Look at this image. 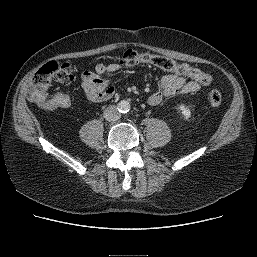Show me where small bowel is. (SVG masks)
<instances>
[{"instance_id":"1","label":"small bowel","mask_w":257,"mask_h":257,"mask_svg":"<svg viewBox=\"0 0 257 257\" xmlns=\"http://www.w3.org/2000/svg\"><path fill=\"white\" fill-rule=\"evenodd\" d=\"M117 63H98L94 71H86L82 75V88L90 101L100 102L110 99L115 90L105 78L106 73H116L120 70ZM198 81L176 73L164 75L159 81V89L148 97L151 106H157L166 98L181 94L198 92L202 88Z\"/></svg>"}]
</instances>
